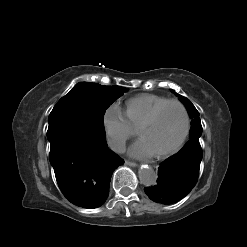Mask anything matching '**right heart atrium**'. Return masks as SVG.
<instances>
[{
	"instance_id": "1",
	"label": "right heart atrium",
	"mask_w": 247,
	"mask_h": 247,
	"mask_svg": "<svg viewBox=\"0 0 247 247\" xmlns=\"http://www.w3.org/2000/svg\"><path fill=\"white\" fill-rule=\"evenodd\" d=\"M103 128L108 145L116 152H121L135 133L124 112L116 105L108 107L104 112Z\"/></svg>"
}]
</instances>
